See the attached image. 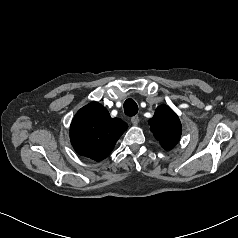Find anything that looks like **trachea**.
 Listing matches in <instances>:
<instances>
[{
  "label": "trachea",
  "mask_w": 238,
  "mask_h": 238,
  "mask_svg": "<svg viewBox=\"0 0 238 238\" xmlns=\"http://www.w3.org/2000/svg\"><path fill=\"white\" fill-rule=\"evenodd\" d=\"M124 112L127 116H134L138 112V105L133 99H127L124 102Z\"/></svg>",
  "instance_id": "1"
}]
</instances>
